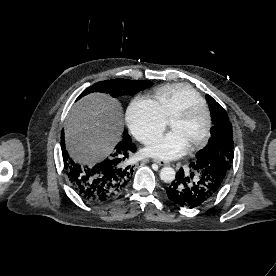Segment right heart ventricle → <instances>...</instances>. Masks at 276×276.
<instances>
[{
    "label": "right heart ventricle",
    "instance_id": "obj_1",
    "mask_svg": "<svg viewBox=\"0 0 276 276\" xmlns=\"http://www.w3.org/2000/svg\"><path fill=\"white\" fill-rule=\"evenodd\" d=\"M153 98L167 121H170L178 112L191 104L206 105L202 96L184 83L161 86L154 91Z\"/></svg>",
    "mask_w": 276,
    "mask_h": 276
}]
</instances>
